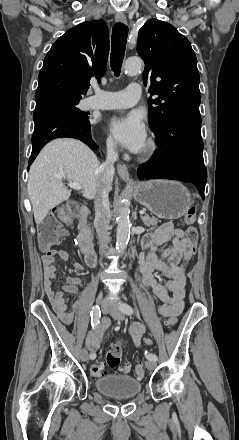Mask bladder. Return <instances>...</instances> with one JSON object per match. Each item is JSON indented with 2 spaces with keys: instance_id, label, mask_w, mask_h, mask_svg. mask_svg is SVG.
Returning <instances> with one entry per match:
<instances>
[{
  "instance_id": "obj_1",
  "label": "bladder",
  "mask_w": 239,
  "mask_h": 440,
  "mask_svg": "<svg viewBox=\"0 0 239 440\" xmlns=\"http://www.w3.org/2000/svg\"><path fill=\"white\" fill-rule=\"evenodd\" d=\"M94 385L101 394L116 399L132 398L142 390L141 382L129 375L99 377L95 380Z\"/></svg>"
}]
</instances>
